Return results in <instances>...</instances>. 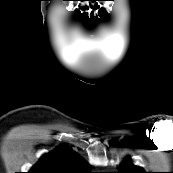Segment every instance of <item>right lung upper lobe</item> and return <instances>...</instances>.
Wrapping results in <instances>:
<instances>
[{
	"label": "right lung upper lobe",
	"instance_id": "obj_1",
	"mask_svg": "<svg viewBox=\"0 0 173 173\" xmlns=\"http://www.w3.org/2000/svg\"><path fill=\"white\" fill-rule=\"evenodd\" d=\"M89 168L76 153L60 147L41 157L29 173H89Z\"/></svg>",
	"mask_w": 173,
	"mask_h": 173
}]
</instances>
